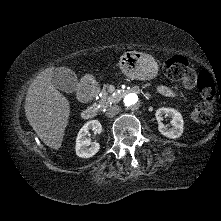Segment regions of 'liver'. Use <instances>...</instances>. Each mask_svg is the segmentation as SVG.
Returning a JSON list of instances; mask_svg holds the SVG:
<instances>
[{
	"label": "liver",
	"instance_id": "liver-1",
	"mask_svg": "<svg viewBox=\"0 0 221 221\" xmlns=\"http://www.w3.org/2000/svg\"><path fill=\"white\" fill-rule=\"evenodd\" d=\"M54 67L47 68L30 84L25 97L29 124L50 148L61 147L70 116L69 101L52 83Z\"/></svg>",
	"mask_w": 221,
	"mask_h": 221
}]
</instances>
